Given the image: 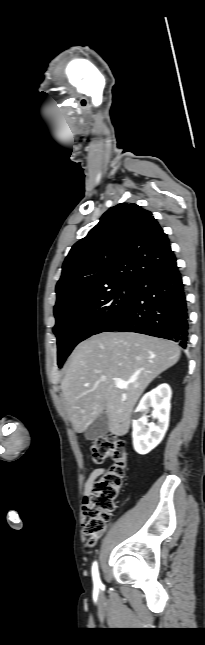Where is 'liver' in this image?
Segmentation results:
<instances>
[{
	"label": "liver",
	"mask_w": 205,
	"mask_h": 645,
	"mask_svg": "<svg viewBox=\"0 0 205 645\" xmlns=\"http://www.w3.org/2000/svg\"><path fill=\"white\" fill-rule=\"evenodd\" d=\"M180 348L172 341L133 332H103L79 343L61 382L67 415L77 433L103 412L108 430L128 433L131 414L146 387L175 365ZM135 380L125 388L115 379Z\"/></svg>",
	"instance_id": "liver-1"
}]
</instances>
